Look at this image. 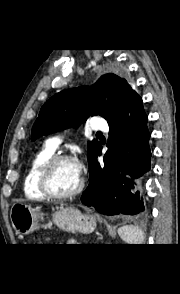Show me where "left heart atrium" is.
Masks as SVG:
<instances>
[{
  "instance_id": "left-heart-atrium-1",
  "label": "left heart atrium",
  "mask_w": 180,
  "mask_h": 294,
  "mask_svg": "<svg viewBox=\"0 0 180 294\" xmlns=\"http://www.w3.org/2000/svg\"><path fill=\"white\" fill-rule=\"evenodd\" d=\"M74 164L78 174L81 175L83 169L82 163L80 161H76Z\"/></svg>"
}]
</instances>
